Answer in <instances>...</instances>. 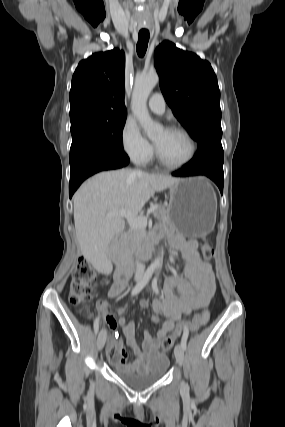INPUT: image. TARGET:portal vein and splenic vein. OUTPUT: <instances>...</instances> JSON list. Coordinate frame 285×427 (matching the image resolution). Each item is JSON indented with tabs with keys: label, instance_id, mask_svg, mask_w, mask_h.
Listing matches in <instances>:
<instances>
[{
	"label": "portal vein and splenic vein",
	"instance_id": "18ae733b",
	"mask_svg": "<svg viewBox=\"0 0 285 427\" xmlns=\"http://www.w3.org/2000/svg\"><path fill=\"white\" fill-rule=\"evenodd\" d=\"M157 209L156 205H153L148 209L147 216H138L137 213L131 212L129 210L120 209L114 210L107 213V217H125L131 227H144L147 226V217L149 214L153 213Z\"/></svg>",
	"mask_w": 285,
	"mask_h": 427
}]
</instances>
